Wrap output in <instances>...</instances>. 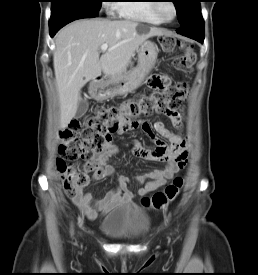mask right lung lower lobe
I'll use <instances>...</instances> for the list:
<instances>
[{"label": "right lung lower lobe", "mask_w": 258, "mask_h": 275, "mask_svg": "<svg viewBox=\"0 0 258 275\" xmlns=\"http://www.w3.org/2000/svg\"><path fill=\"white\" fill-rule=\"evenodd\" d=\"M96 16L97 15L82 12H64L56 15H51L49 21L50 36L53 37L60 28L74 20L81 18H92Z\"/></svg>", "instance_id": "right-lung-lower-lobe-1"}]
</instances>
